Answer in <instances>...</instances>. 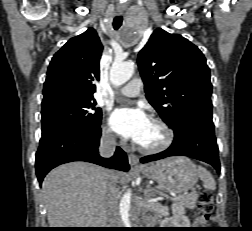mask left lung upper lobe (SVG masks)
Wrapping results in <instances>:
<instances>
[{"label":"left lung upper lobe","instance_id":"5c2ea615","mask_svg":"<svg viewBox=\"0 0 252 231\" xmlns=\"http://www.w3.org/2000/svg\"><path fill=\"white\" fill-rule=\"evenodd\" d=\"M137 62L146 97L165 123L172 127L190 112L212 114L209 67L186 38L157 28Z\"/></svg>","mask_w":252,"mask_h":231}]
</instances>
